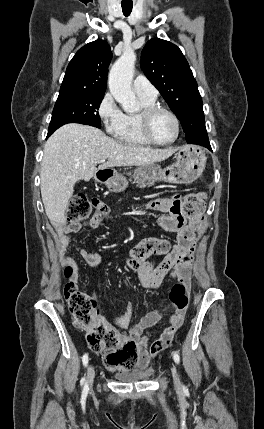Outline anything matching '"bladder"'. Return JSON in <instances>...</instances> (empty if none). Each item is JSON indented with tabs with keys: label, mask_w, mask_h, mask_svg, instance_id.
Here are the masks:
<instances>
[{
	"label": "bladder",
	"mask_w": 264,
	"mask_h": 429,
	"mask_svg": "<svg viewBox=\"0 0 264 429\" xmlns=\"http://www.w3.org/2000/svg\"><path fill=\"white\" fill-rule=\"evenodd\" d=\"M153 372L151 370L144 372H135L131 374H118L116 375L117 379L121 381H139L145 380L151 377Z\"/></svg>",
	"instance_id": "31cf9c89"
}]
</instances>
